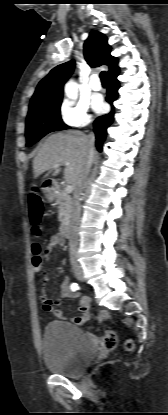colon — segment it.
I'll use <instances>...</instances> for the list:
<instances>
[{
	"label": "colon",
	"mask_w": 168,
	"mask_h": 415,
	"mask_svg": "<svg viewBox=\"0 0 168 415\" xmlns=\"http://www.w3.org/2000/svg\"><path fill=\"white\" fill-rule=\"evenodd\" d=\"M28 208H29V218L30 222L32 224V231L35 235H39L41 233V229L39 227L41 218H42V206H41V199L36 194H31L28 199ZM34 254L32 256V267H33V273L37 277H42L44 275L43 270V262L44 257L42 255H39L41 248L38 244H35L33 246ZM110 314L106 311H102L97 314L96 318L99 322H103L107 319H110ZM92 341L96 348L100 352H107L112 350L115 347L116 344V336L115 333L111 330H106L104 336L97 337L92 335L91 336ZM134 344L132 340H127L125 343V347L128 350H131L133 348Z\"/></svg>",
	"instance_id": "colon-1"
}]
</instances>
